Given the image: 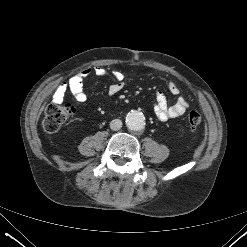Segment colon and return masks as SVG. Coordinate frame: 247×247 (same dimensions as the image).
I'll return each mask as SVG.
<instances>
[{
    "instance_id": "5ec220e1",
    "label": "colon",
    "mask_w": 247,
    "mask_h": 247,
    "mask_svg": "<svg viewBox=\"0 0 247 247\" xmlns=\"http://www.w3.org/2000/svg\"><path fill=\"white\" fill-rule=\"evenodd\" d=\"M75 109L71 105L50 103L45 108L43 128L47 133H56L63 124L74 114ZM202 122L200 112L192 110L188 114V124L191 129H196Z\"/></svg>"
}]
</instances>
